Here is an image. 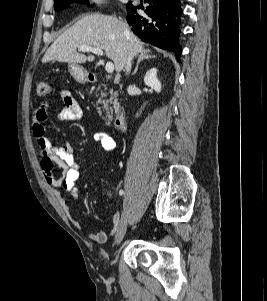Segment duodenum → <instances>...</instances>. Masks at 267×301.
<instances>
[{
	"instance_id": "410a0bca",
	"label": "duodenum",
	"mask_w": 267,
	"mask_h": 301,
	"mask_svg": "<svg viewBox=\"0 0 267 301\" xmlns=\"http://www.w3.org/2000/svg\"><path fill=\"white\" fill-rule=\"evenodd\" d=\"M90 82H94L95 78L94 77H90ZM114 127L119 130L122 131L124 130V128L126 127V115L123 109H120L117 113L115 122H114Z\"/></svg>"
}]
</instances>
